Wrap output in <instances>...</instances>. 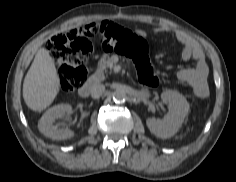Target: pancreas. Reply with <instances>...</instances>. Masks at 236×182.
I'll use <instances>...</instances> for the list:
<instances>
[{
    "label": "pancreas",
    "instance_id": "1",
    "mask_svg": "<svg viewBox=\"0 0 236 182\" xmlns=\"http://www.w3.org/2000/svg\"><path fill=\"white\" fill-rule=\"evenodd\" d=\"M99 67L101 69H106V68H112L113 67V63L109 58L103 57L100 59L99 61Z\"/></svg>",
    "mask_w": 236,
    "mask_h": 182
}]
</instances>
